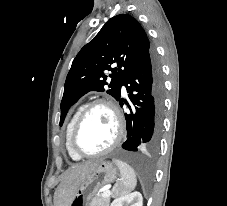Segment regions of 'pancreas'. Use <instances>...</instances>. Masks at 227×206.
<instances>
[{"label":"pancreas","instance_id":"1","mask_svg":"<svg viewBox=\"0 0 227 206\" xmlns=\"http://www.w3.org/2000/svg\"><path fill=\"white\" fill-rule=\"evenodd\" d=\"M110 195L107 196V197H103L102 194H97L92 199L90 206H109V203H110Z\"/></svg>","mask_w":227,"mask_h":206}]
</instances>
